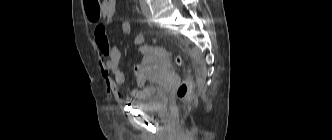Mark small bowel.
<instances>
[{
  "label": "small bowel",
  "instance_id": "obj_1",
  "mask_svg": "<svg viewBox=\"0 0 332 140\" xmlns=\"http://www.w3.org/2000/svg\"><path fill=\"white\" fill-rule=\"evenodd\" d=\"M116 3V0H101L99 18L92 19L89 16L88 18L92 22H98L99 19L105 21V23H97L94 29V39L98 50V63L107 90L114 93L116 96H119L120 94L116 85H123L126 78L125 74L119 67L121 51L119 47L110 40L107 31V26L112 22L116 10ZM133 43L140 54L144 55L150 51V47L145 44V36L143 34L136 35ZM135 72L137 76V88L130 92L127 100L142 98L147 94L149 89L142 68L136 66Z\"/></svg>",
  "mask_w": 332,
  "mask_h": 140
}]
</instances>
